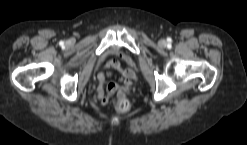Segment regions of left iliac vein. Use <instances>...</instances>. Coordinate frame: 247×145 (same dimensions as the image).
I'll return each instance as SVG.
<instances>
[{
    "label": "left iliac vein",
    "mask_w": 247,
    "mask_h": 145,
    "mask_svg": "<svg viewBox=\"0 0 247 145\" xmlns=\"http://www.w3.org/2000/svg\"><path fill=\"white\" fill-rule=\"evenodd\" d=\"M166 40H164V39H161V40H159V42H158V45L160 46V47H166Z\"/></svg>",
    "instance_id": "left-iliac-vein-1"
}]
</instances>
